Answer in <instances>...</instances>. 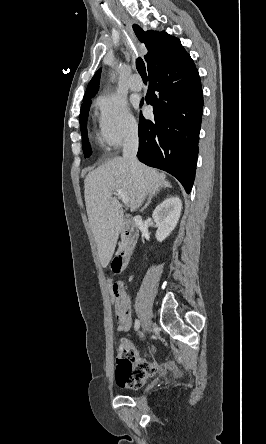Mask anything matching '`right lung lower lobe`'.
Masks as SVG:
<instances>
[{
  "label": "right lung lower lobe",
  "mask_w": 266,
  "mask_h": 444,
  "mask_svg": "<svg viewBox=\"0 0 266 444\" xmlns=\"http://www.w3.org/2000/svg\"><path fill=\"white\" fill-rule=\"evenodd\" d=\"M148 74L145 100L153 106L154 120L140 115L137 157L144 164L175 176L190 193L203 109L197 68L188 54Z\"/></svg>",
  "instance_id": "obj_1"
}]
</instances>
